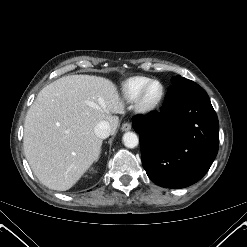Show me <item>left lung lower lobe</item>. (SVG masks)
<instances>
[{
    "instance_id": "1",
    "label": "left lung lower lobe",
    "mask_w": 247,
    "mask_h": 247,
    "mask_svg": "<svg viewBox=\"0 0 247 247\" xmlns=\"http://www.w3.org/2000/svg\"><path fill=\"white\" fill-rule=\"evenodd\" d=\"M132 126L139 133L143 167L162 187L196 183L218 152V118L207 93L196 83L172 85L160 112L138 116Z\"/></svg>"
}]
</instances>
